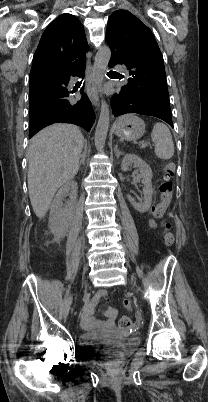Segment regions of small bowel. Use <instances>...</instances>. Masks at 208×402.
<instances>
[{"label": "small bowel", "mask_w": 208, "mask_h": 402, "mask_svg": "<svg viewBox=\"0 0 208 402\" xmlns=\"http://www.w3.org/2000/svg\"><path fill=\"white\" fill-rule=\"evenodd\" d=\"M162 225H165L164 222H162ZM149 227L152 229L157 228V223L153 220H149ZM105 298V295L103 292H96L94 295V298L90 302V304L87 306L84 315L87 317L88 321H81L79 324V327L81 330H89L92 327V324H103V328L105 330H110L112 328V323L116 317V311L113 308H109L105 312V319L104 320H97L95 319L93 315L94 307L97 304L98 301H103Z\"/></svg>", "instance_id": "obj_1"}]
</instances>
